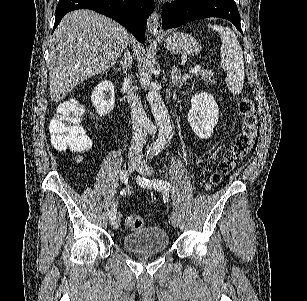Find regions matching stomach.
<instances>
[{
  "label": "stomach",
  "mask_w": 307,
  "mask_h": 301,
  "mask_svg": "<svg viewBox=\"0 0 307 301\" xmlns=\"http://www.w3.org/2000/svg\"><path fill=\"white\" fill-rule=\"evenodd\" d=\"M159 40H163L165 48L175 52V54L195 56L201 48L198 40L192 34H186V32H173L167 38H159Z\"/></svg>",
  "instance_id": "0dacf381"
}]
</instances>
